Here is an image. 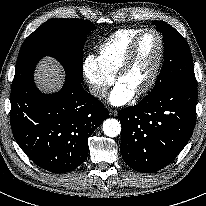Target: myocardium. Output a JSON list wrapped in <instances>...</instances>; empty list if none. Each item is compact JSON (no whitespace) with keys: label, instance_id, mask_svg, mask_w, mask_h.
<instances>
[{"label":"myocardium","instance_id":"myocardium-1","mask_svg":"<svg viewBox=\"0 0 206 206\" xmlns=\"http://www.w3.org/2000/svg\"><path fill=\"white\" fill-rule=\"evenodd\" d=\"M148 33H153L157 36V38L159 40V53H158V58H157L156 64L154 66V69L151 73L149 80L142 88H140L138 91L135 92L136 97H140V96L147 94L154 87V85L156 84V82L158 80V77H159V74L161 72V68L163 65L164 56H165V43H164V38H163L162 34L153 28H147V29H144L143 31H141L133 39L125 56L123 57L122 61L120 62L118 69L116 71V74H115V79L117 82H119L121 77L129 69L131 63L133 62V59H134L135 54L137 52L140 41Z\"/></svg>","mask_w":206,"mask_h":206}]
</instances>
